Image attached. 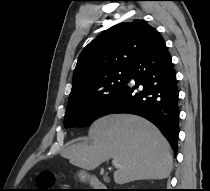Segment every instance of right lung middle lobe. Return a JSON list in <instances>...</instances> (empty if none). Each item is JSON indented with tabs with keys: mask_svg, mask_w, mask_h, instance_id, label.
Returning a JSON list of instances; mask_svg holds the SVG:
<instances>
[{
	"mask_svg": "<svg viewBox=\"0 0 210 191\" xmlns=\"http://www.w3.org/2000/svg\"><path fill=\"white\" fill-rule=\"evenodd\" d=\"M129 68L114 69L96 78L88 89L68 100L65 128L86 127L99 118L107 102L128 82Z\"/></svg>",
	"mask_w": 210,
	"mask_h": 191,
	"instance_id": "dd1d6c3e",
	"label": "right lung middle lobe"
}]
</instances>
